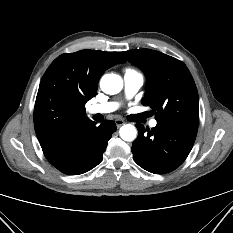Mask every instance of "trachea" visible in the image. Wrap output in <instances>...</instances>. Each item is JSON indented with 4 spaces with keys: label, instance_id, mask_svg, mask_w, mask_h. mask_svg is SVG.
I'll return each instance as SVG.
<instances>
[{
    "label": "trachea",
    "instance_id": "1",
    "mask_svg": "<svg viewBox=\"0 0 233 233\" xmlns=\"http://www.w3.org/2000/svg\"><path fill=\"white\" fill-rule=\"evenodd\" d=\"M148 117H149V114L147 112H145V113H142V114L132 116L130 118V120L134 121V122H142L143 120H145Z\"/></svg>",
    "mask_w": 233,
    "mask_h": 233
}]
</instances>
